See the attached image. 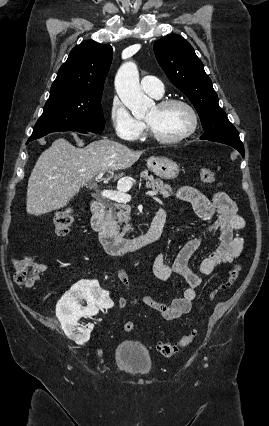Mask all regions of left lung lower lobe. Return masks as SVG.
Listing matches in <instances>:
<instances>
[{
    "label": "left lung lower lobe",
    "mask_w": 269,
    "mask_h": 426,
    "mask_svg": "<svg viewBox=\"0 0 269 426\" xmlns=\"http://www.w3.org/2000/svg\"><path fill=\"white\" fill-rule=\"evenodd\" d=\"M200 139L209 140V139L204 138L203 136H201ZM210 141L220 142V143L232 146L233 148L237 149L241 153V155L244 157V154H245L244 153V146H243V143L241 142L240 138H236V137L219 138V139H213V140H210Z\"/></svg>",
    "instance_id": "obj_1"
}]
</instances>
